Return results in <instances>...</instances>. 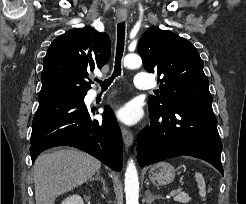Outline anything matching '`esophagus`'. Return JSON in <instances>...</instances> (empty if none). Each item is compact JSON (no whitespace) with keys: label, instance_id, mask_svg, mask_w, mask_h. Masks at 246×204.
Masks as SVG:
<instances>
[{"label":"esophagus","instance_id":"34e87169","mask_svg":"<svg viewBox=\"0 0 246 204\" xmlns=\"http://www.w3.org/2000/svg\"><path fill=\"white\" fill-rule=\"evenodd\" d=\"M117 19H118V21L122 22L126 19V16L125 15H118ZM121 133H122L123 142L126 145V147L132 146L133 141H134V137H133L132 132L130 130L122 127Z\"/></svg>","mask_w":246,"mask_h":204}]
</instances>
